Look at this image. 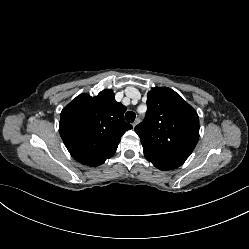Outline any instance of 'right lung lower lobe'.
<instances>
[{
    "label": "right lung lower lobe",
    "instance_id": "obj_1",
    "mask_svg": "<svg viewBox=\"0 0 249 249\" xmlns=\"http://www.w3.org/2000/svg\"><path fill=\"white\" fill-rule=\"evenodd\" d=\"M104 162H105V160L102 161V162H99V163H97V164L91 165V166H98V165H101V164L104 163Z\"/></svg>",
    "mask_w": 249,
    "mask_h": 249
}]
</instances>
